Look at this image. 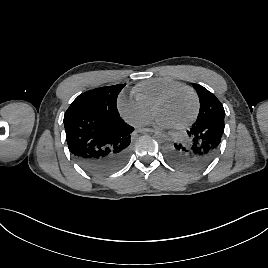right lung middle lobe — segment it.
<instances>
[{"mask_svg": "<svg viewBox=\"0 0 268 268\" xmlns=\"http://www.w3.org/2000/svg\"><path fill=\"white\" fill-rule=\"evenodd\" d=\"M125 84L96 88L80 94L65 112L64 119L79 112H94L104 116H119L117 97Z\"/></svg>", "mask_w": 268, "mask_h": 268, "instance_id": "obj_1", "label": "right lung middle lobe"}]
</instances>
